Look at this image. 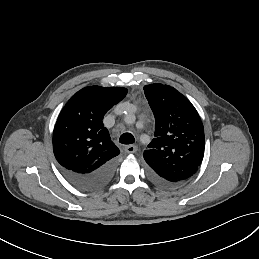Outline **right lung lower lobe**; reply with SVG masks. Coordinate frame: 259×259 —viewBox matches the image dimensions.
I'll list each match as a JSON object with an SVG mask.
<instances>
[{
    "mask_svg": "<svg viewBox=\"0 0 259 259\" xmlns=\"http://www.w3.org/2000/svg\"><path fill=\"white\" fill-rule=\"evenodd\" d=\"M115 166L116 159L114 158L92 172L77 173L63 167L61 171L73 185L81 189L90 190L99 188L107 183L114 172Z\"/></svg>",
    "mask_w": 259,
    "mask_h": 259,
    "instance_id": "right-lung-lower-lobe-1",
    "label": "right lung lower lobe"
}]
</instances>
